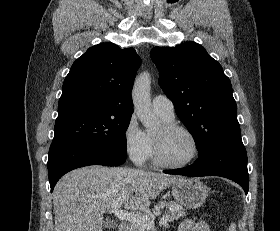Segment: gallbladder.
I'll use <instances>...</instances> for the list:
<instances>
[{"mask_svg":"<svg viewBox=\"0 0 280 231\" xmlns=\"http://www.w3.org/2000/svg\"><path fill=\"white\" fill-rule=\"evenodd\" d=\"M103 225L104 227H108V229H114V227H117V223L114 219H105V221H103Z\"/></svg>","mask_w":280,"mask_h":231,"instance_id":"gallbladder-1","label":"gallbladder"}]
</instances>
